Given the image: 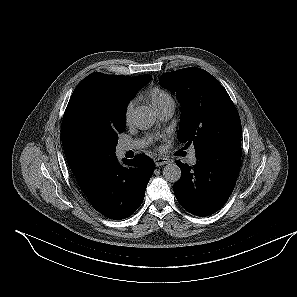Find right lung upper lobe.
<instances>
[{
    "label": "right lung upper lobe",
    "instance_id": "cb5924a9",
    "mask_svg": "<svg viewBox=\"0 0 297 297\" xmlns=\"http://www.w3.org/2000/svg\"><path fill=\"white\" fill-rule=\"evenodd\" d=\"M151 75L126 77L92 73L75 88L64 113L61 136L67 162L82 191L113 157L95 152L87 139L89 127L126 115L130 100L149 83Z\"/></svg>",
    "mask_w": 297,
    "mask_h": 297
}]
</instances>
